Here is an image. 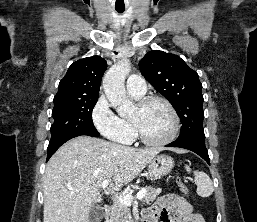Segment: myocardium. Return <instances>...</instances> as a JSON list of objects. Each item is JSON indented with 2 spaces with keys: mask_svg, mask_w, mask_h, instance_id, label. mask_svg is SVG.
<instances>
[{
  "mask_svg": "<svg viewBox=\"0 0 257 222\" xmlns=\"http://www.w3.org/2000/svg\"><path fill=\"white\" fill-rule=\"evenodd\" d=\"M153 102H160V103L164 104L166 106V108L169 110V112L172 116L173 127H172L171 133L167 137H165L163 139H160V140H150L142 134V132L140 131V129L137 125V123L133 119H130V123L132 125L133 130H134L135 136L143 144L148 145V146L168 145L171 142H173L179 134L180 127H181L180 117H179L178 112L176 111L175 107L172 105V103L168 99H166L164 97H161V96L153 95V96L144 97L137 103V107L138 108H144V107H146L147 105H149Z\"/></svg>",
  "mask_w": 257,
  "mask_h": 222,
  "instance_id": "obj_1",
  "label": "myocardium"
}]
</instances>
